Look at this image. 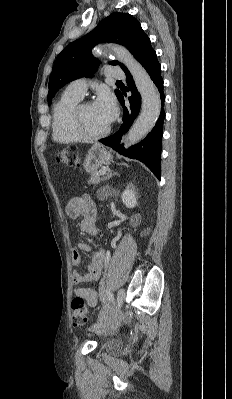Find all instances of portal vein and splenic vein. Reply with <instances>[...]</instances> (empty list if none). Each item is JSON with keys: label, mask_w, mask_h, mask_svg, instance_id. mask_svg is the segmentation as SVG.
Wrapping results in <instances>:
<instances>
[{"label": "portal vein and splenic vein", "mask_w": 232, "mask_h": 399, "mask_svg": "<svg viewBox=\"0 0 232 399\" xmlns=\"http://www.w3.org/2000/svg\"><path fill=\"white\" fill-rule=\"evenodd\" d=\"M106 172H109V168H106V170H100V174H106Z\"/></svg>", "instance_id": "portal-vein-and-splenic-vein-1"}]
</instances>
